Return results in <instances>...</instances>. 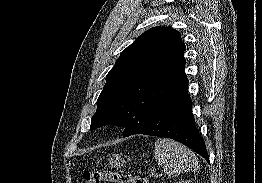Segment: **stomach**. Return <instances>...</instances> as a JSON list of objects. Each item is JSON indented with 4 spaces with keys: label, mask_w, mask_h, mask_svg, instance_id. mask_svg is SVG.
<instances>
[{
    "label": "stomach",
    "mask_w": 262,
    "mask_h": 183,
    "mask_svg": "<svg viewBox=\"0 0 262 183\" xmlns=\"http://www.w3.org/2000/svg\"><path fill=\"white\" fill-rule=\"evenodd\" d=\"M111 166L116 168H121L125 165V159L121 155L113 154L111 158L108 159Z\"/></svg>",
    "instance_id": "1"
}]
</instances>
